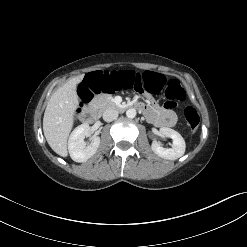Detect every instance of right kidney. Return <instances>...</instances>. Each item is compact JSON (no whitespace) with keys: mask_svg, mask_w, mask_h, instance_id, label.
<instances>
[{"mask_svg":"<svg viewBox=\"0 0 247 247\" xmlns=\"http://www.w3.org/2000/svg\"><path fill=\"white\" fill-rule=\"evenodd\" d=\"M89 134L90 126L88 124L79 125L71 133L68 141V149L70 157L75 162H85L96 153L100 145V137L94 136L91 144L86 147L84 138L89 136Z\"/></svg>","mask_w":247,"mask_h":247,"instance_id":"1","label":"right kidney"}]
</instances>
